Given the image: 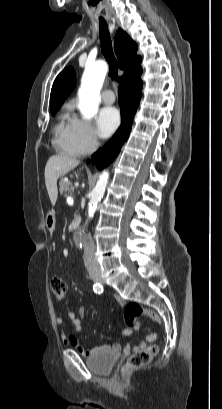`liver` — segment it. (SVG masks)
I'll list each match as a JSON object with an SVG mask.
<instances>
[{"mask_svg": "<svg viewBox=\"0 0 222 409\" xmlns=\"http://www.w3.org/2000/svg\"><path fill=\"white\" fill-rule=\"evenodd\" d=\"M79 163V160L65 155H53L48 159L45 166V184L52 206L56 204L58 197L57 180L77 167Z\"/></svg>", "mask_w": 222, "mask_h": 409, "instance_id": "liver-1", "label": "liver"}]
</instances>
